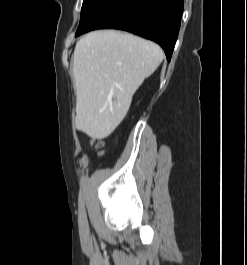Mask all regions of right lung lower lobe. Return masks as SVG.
Here are the masks:
<instances>
[{
    "label": "right lung lower lobe",
    "mask_w": 247,
    "mask_h": 265,
    "mask_svg": "<svg viewBox=\"0 0 247 265\" xmlns=\"http://www.w3.org/2000/svg\"><path fill=\"white\" fill-rule=\"evenodd\" d=\"M183 7V0H99L80 21L76 37L95 29L125 30L157 42L170 61Z\"/></svg>",
    "instance_id": "1"
}]
</instances>
